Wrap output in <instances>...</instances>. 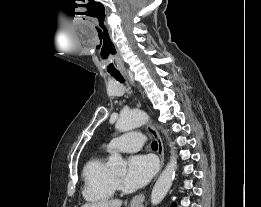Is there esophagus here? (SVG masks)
I'll return each instance as SVG.
<instances>
[{"label":"esophagus","mask_w":261,"mask_h":207,"mask_svg":"<svg viewBox=\"0 0 261 207\" xmlns=\"http://www.w3.org/2000/svg\"><path fill=\"white\" fill-rule=\"evenodd\" d=\"M147 129L157 141V144H158L157 153H158L159 158H160V168H162L163 165H164V146H163L162 139H161L159 133L157 132V130L154 128V126L152 124L148 123ZM144 198H145L144 194H138V195L134 196L131 200V205L138 206V205L142 204L143 201H144Z\"/></svg>","instance_id":"esophagus-1"}]
</instances>
